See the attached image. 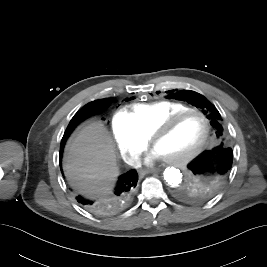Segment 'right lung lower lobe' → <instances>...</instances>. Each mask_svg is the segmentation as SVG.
Returning <instances> with one entry per match:
<instances>
[{
    "instance_id": "right-lung-lower-lobe-1",
    "label": "right lung lower lobe",
    "mask_w": 267,
    "mask_h": 267,
    "mask_svg": "<svg viewBox=\"0 0 267 267\" xmlns=\"http://www.w3.org/2000/svg\"><path fill=\"white\" fill-rule=\"evenodd\" d=\"M108 105H109V102L108 103H97L93 101V102L86 104L83 108H81L74 115L61 141L60 159L62 157L64 144L67 138L69 137V135L71 134V132L74 130V128L86 118L94 114L102 112L104 109L108 107ZM102 119L105 120V118H102ZM137 182H138V174L136 170L134 169L119 176L117 185L114 189L112 202L110 205H103L102 203H98V202L94 203V201L86 199L82 196H77L76 199L81 205L101 214H105L110 211H117L121 209L122 207H124L129 202L131 195L134 192L135 187L137 186Z\"/></svg>"
}]
</instances>
